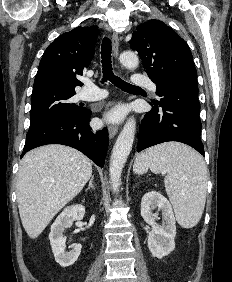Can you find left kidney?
I'll return each mask as SVG.
<instances>
[{"label":"left kidney","instance_id":"1","mask_svg":"<svg viewBox=\"0 0 232 282\" xmlns=\"http://www.w3.org/2000/svg\"><path fill=\"white\" fill-rule=\"evenodd\" d=\"M156 208L162 211V225L152 212ZM141 216L151 226L147 242L152 256L161 259L170 254L175 248L176 221L169 201L157 191L147 192L141 200Z\"/></svg>","mask_w":232,"mask_h":282}]
</instances>
